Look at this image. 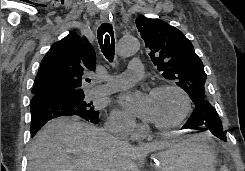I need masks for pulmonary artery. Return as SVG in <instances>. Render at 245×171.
I'll use <instances>...</instances> for the list:
<instances>
[{"label":"pulmonary artery","instance_id":"1","mask_svg":"<svg viewBox=\"0 0 245 171\" xmlns=\"http://www.w3.org/2000/svg\"><path fill=\"white\" fill-rule=\"evenodd\" d=\"M143 74V66L139 59H133L128 65L127 71L122 74L112 76L107 83L102 86L91 88V94L104 95L123 90L131 86Z\"/></svg>","mask_w":245,"mask_h":171}]
</instances>
